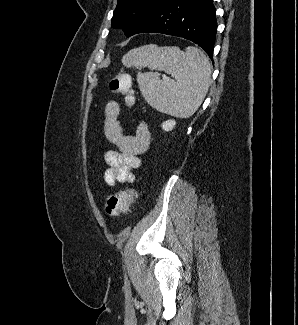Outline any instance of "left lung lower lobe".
Wrapping results in <instances>:
<instances>
[{
	"mask_svg": "<svg viewBox=\"0 0 298 325\" xmlns=\"http://www.w3.org/2000/svg\"><path fill=\"white\" fill-rule=\"evenodd\" d=\"M217 21L213 0H165L131 35L162 33L198 44L213 61Z\"/></svg>",
	"mask_w": 298,
	"mask_h": 325,
	"instance_id": "0a47b994",
	"label": "left lung lower lobe"
}]
</instances>
